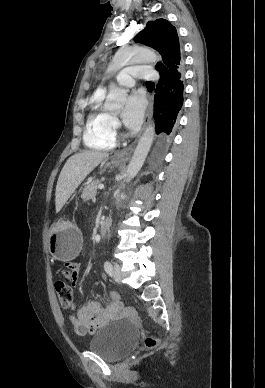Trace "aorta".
Here are the masks:
<instances>
[{"label": "aorta", "instance_id": "1", "mask_svg": "<svg viewBox=\"0 0 265 388\" xmlns=\"http://www.w3.org/2000/svg\"><path fill=\"white\" fill-rule=\"evenodd\" d=\"M159 60H160L159 56L153 50H150L147 48L119 50L115 54L110 66L108 67V71L114 73L128 64L145 63V62L156 63ZM126 97H127V94L125 90L120 89L112 84L110 86V91L107 96L106 106L108 108L121 107L124 104ZM154 136H155V126L153 123H151L145 129L143 135L141 136L137 144V147L134 151V154L132 156V159L128 164V167H127L128 176L126 179L127 182L132 180L138 174L141 167L143 166L144 161L152 145Z\"/></svg>", "mask_w": 265, "mask_h": 388}]
</instances>
